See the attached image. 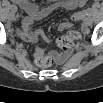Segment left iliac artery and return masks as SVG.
<instances>
[{"label": "left iliac artery", "mask_w": 103, "mask_h": 103, "mask_svg": "<svg viewBox=\"0 0 103 103\" xmlns=\"http://www.w3.org/2000/svg\"><path fill=\"white\" fill-rule=\"evenodd\" d=\"M87 16L90 17V18L94 17L93 11L91 9H88Z\"/></svg>", "instance_id": "left-iliac-artery-1"}]
</instances>
